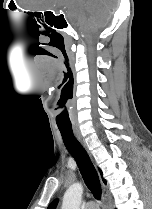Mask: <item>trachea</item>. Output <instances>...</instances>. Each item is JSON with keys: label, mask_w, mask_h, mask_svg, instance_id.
I'll return each mask as SVG.
<instances>
[{"label": "trachea", "mask_w": 152, "mask_h": 209, "mask_svg": "<svg viewBox=\"0 0 152 209\" xmlns=\"http://www.w3.org/2000/svg\"><path fill=\"white\" fill-rule=\"evenodd\" d=\"M58 128L61 132L62 139L66 148L77 162V165L82 174L85 184L93 193V195L97 199H100L102 193L100 180L97 171L94 168L87 152L79 143V141L75 138L71 126H64Z\"/></svg>", "instance_id": "1"}]
</instances>
